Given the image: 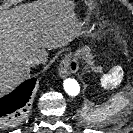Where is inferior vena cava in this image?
<instances>
[{
	"label": "inferior vena cava",
	"mask_w": 133,
	"mask_h": 133,
	"mask_svg": "<svg viewBox=\"0 0 133 133\" xmlns=\"http://www.w3.org/2000/svg\"><path fill=\"white\" fill-rule=\"evenodd\" d=\"M46 56L44 55L43 52H39L33 56H31L28 60H27V64L29 66H35V65H39L40 63H42L45 60Z\"/></svg>",
	"instance_id": "1"
}]
</instances>
